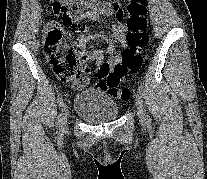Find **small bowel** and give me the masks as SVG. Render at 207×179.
Here are the masks:
<instances>
[{"label": "small bowel", "instance_id": "1", "mask_svg": "<svg viewBox=\"0 0 207 179\" xmlns=\"http://www.w3.org/2000/svg\"><path fill=\"white\" fill-rule=\"evenodd\" d=\"M90 5L92 7L91 10H88L86 12L81 13L78 15L72 22V27L75 31L80 33V48L83 54H85L89 58H94L97 61V64L100 65L102 63V60L104 58L103 52L102 51H91V52H86L85 51V44L90 41L91 39L96 37V34L83 29V20H92V21H98L100 19V15H108V16H114L116 19L117 23H115L112 27L113 29V34L114 37L123 43L125 45V33L127 32V27L125 25H122L119 23L121 19L123 18V11L120 8L119 4L117 2H113L110 4L107 9L105 10H97L94 9L93 7L96 5L93 3V0L90 1ZM56 15H59L58 13H55ZM108 53L112 54L113 53V47L108 48ZM120 54H117L115 56H111L109 58V61L111 64H116L120 61ZM86 83L82 84H77V88H82Z\"/></svg>", "mask_w": 207, "mask_h": 179}]
</instances>
